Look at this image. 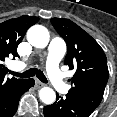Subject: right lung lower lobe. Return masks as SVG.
Listing matches in <instances>:
<instances>
[{"instance_id": "right-lung-lower-lobe-1", "label": "right lung lower lobe", "mask_w": 117, "mask_h": 117, "mask_svg": "<svg viewBox=\"0 0 117 117\" xmlns=\"http://www.w3.org/2000/svg\"><path fill=\"white\" fill-rule=\"evenodd\" d=\"M33 79H25L0 101V117H13L22 94L34 86Z\"/></svg>"}]
</instances>
